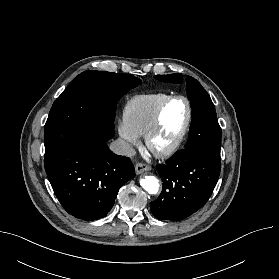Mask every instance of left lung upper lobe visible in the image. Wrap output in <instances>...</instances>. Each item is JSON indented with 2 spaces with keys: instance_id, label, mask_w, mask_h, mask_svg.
Returning <instances> with one entry per match:
<instances>
[{
  "instance_id": "left-lung-upper-lobe-1",
  "label": "left lung upper lobe",
  "mask_w": 279,
  "mask_h": 279,
  "mask_svg": "<svg viewBox=\"0 0 279 279\" xmlns=\"http://www.w3.org/2000/svg\"><path fill=\"white\" fill-rule=\"evenodd\" d=\"M162 82L180 83L182 74L156 75ZM187 95L192 108V121L189 138L184 146L187 149L202 151L220 159L221 128L216 117L214 104L201 84L187 76Z\"/></svg>"
}]
</instances>
